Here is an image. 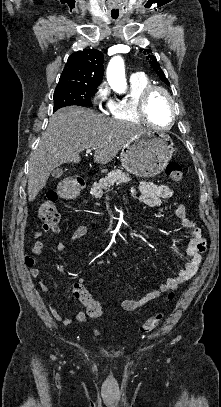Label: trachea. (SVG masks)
Instances as JSON below:
<instances>
[{
  "label": "trachea",
  "mask_w": 221,
  "mask_h": 407,
  "mask_svg": "<svg viewBox=\"0 0 221 407\" xmlns=\"http://www.w3.org/2000/svg\"><path fill=\"white\" fill-rule=\"evenodd\" d=\"M113 19H117V17H112Z\"/></svg>",
  "instance_id": "obj_1"
}]
</instances>
